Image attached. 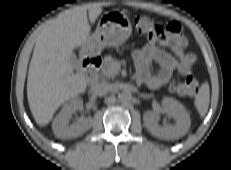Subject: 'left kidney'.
Returning a JSON list of instances; mask_svg holds the SVG:
<instances>
[{
	"mask_svg": "<svg viewBox=\"0 0 231 170\" xmlns=\"http://www.w3.org/2000/svg\"><path fill=\"white\" fill-rule=\"evenodd\" d=\"M160 111L172 117L175 120V124L159 126ZM143 121L152 135L166 140L182 137L188 132L191 124L189 113L180 102L173 98H164L161 110L146 111L143 115Z\"/></svg>",
	"mask_w": 231,
	"mask_h": 170,
	"instance_id": "5707ae66",
	"label": "left kidney"
}]
</instances>
